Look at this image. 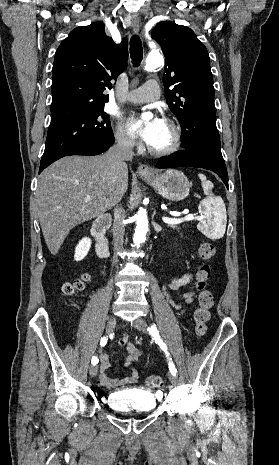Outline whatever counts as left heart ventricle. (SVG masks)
Wrapping results in <instances>:
<instances>
[{"mask_svg":"<svg viewBox=\"0 0 279 465\" xmlns=\"http://www.w3.org/2000/svg\"><path fill=\"white\" fill-rule=\"evenodd\" d=\"M173 141V132L170 126L166 123H162L158 131L155 133L153 139L149 143V146L153 149H164L168 147Z\"/></svg>","mask_w":279,"mask_h":465,"instance_id":"1","label":"left heart ventricle"}]
</instances>
